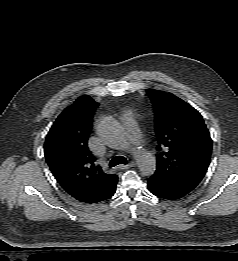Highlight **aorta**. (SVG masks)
<instances>
[{"mask_svg": "<svg viewBox=\"0 0 238 261\" xmlns=\"http://www.w3.org/2000/svg\"><path fill=\"white\" fill-rule=\"evenodd\" d=\"M101 134L109 142H113L119 146H125V134L112 117H106L101 122ZM132 154L136 160L138 168L143 176H151L156 170V160L155 157L146 150L143 149H133Z\"/></svg>", "mask_w": 238, "mask_h": 261, "instance_id": "obj_1", "label": "aorta"}]
</instances>
